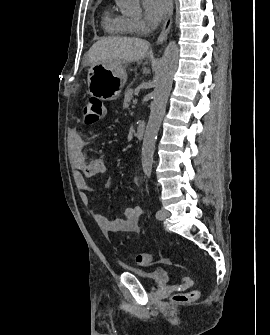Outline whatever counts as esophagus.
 <instances>
[{"label":"esophagus","mask_w":270,"mask_h":335,"mask_svg":"<svg viewBox=\"0 0 270 335\" xmlns=\"http://www.w3.org/2000/svg\"><path fill=\"white\" fill-rule=\"evenodd\" d=\"M168 2V11L167 15L163 24V28L161 30V33L157 39V43H163L164 40L167 38V35L170 31L171 25H172V15H173V0H167Z\"/></svg>","instance_id":"esophagus-1"}]
</instances>
